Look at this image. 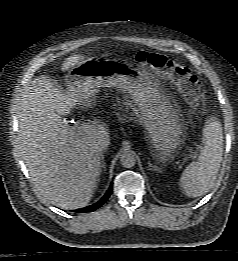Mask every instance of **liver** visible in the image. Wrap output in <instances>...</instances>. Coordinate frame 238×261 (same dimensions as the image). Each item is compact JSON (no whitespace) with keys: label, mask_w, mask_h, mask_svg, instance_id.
<instances>
[{"label":"liver","mask_w":238,"mask_h":261,"mask_svg":"<svg viewBox=\"0 0 238 261\" xmlns=\"http://www.w3.org/2000/svg\"><path fill=\"white\" fill-rule=\"evenodd\" d=\"M83 57H68L62 70L80 64ZM77 99L64 92L50 76L34 79L18 108L19 149L35 192L62 209L85 207L101 172L99 143L109 144L105 124L77 134L61 116L69 115Z\"/></svg>","instance_id":"obj_1"}]
</instances>
